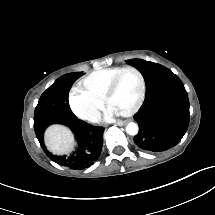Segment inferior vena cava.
<instances>
[{
    "mask_svg": "<svg viewBox=\"0 0 215 215\" xmlns=\"http://www.w3.org/2000/svg\"><path fill=\"white\" fill-rule=\"evenodd\" d=\"M85 119L92 123H97L101 120V113L99 111H93L84 115Z\"/></svg>",
    "mask_w": 215,
    "mask_h": 215,
    "instance_id": "1",
    "label": "inferior vena cava"
}]
</instances>
